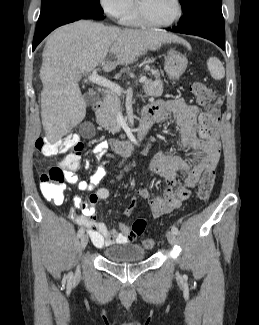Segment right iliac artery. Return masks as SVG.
I'll use <instances>...</instances> for the list:
<instances>
[{"mask_svg":"<svg viewBox=\"0 0 259 325\" xmlns=\"http://www.w3.org/2000/svg\"><path fill=\"white\" fill-rule=\"evenodd\" d=\"M83 234H84V229L83 228H80L78 230L77 236L78 237H82ZM68 278H69V280H71L73 278V274L72 273H69Z\"/></svg>","mask_w":259,"mask_h":325,"instance_id":"obj_1","label":"right iliac artery"}]
</instances>
